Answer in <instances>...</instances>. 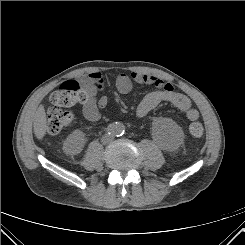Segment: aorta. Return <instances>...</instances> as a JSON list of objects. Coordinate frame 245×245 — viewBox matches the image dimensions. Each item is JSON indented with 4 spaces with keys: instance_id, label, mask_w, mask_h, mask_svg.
Here are the masks:
<instances>
[{
    "instance_id": "obj_1",
    "label": "aorta",
    "mask_w": 245,
    "mask_h": 245,
    "mask_svg": "<svg viewBox=\"0 0 245 245\" xmlns=\"http://www.w3.org/2000/svg\"><path fill=\"white\" fill-rule=\"evenodd\" d=\"M125 131V126L122 123H114L111 125V132L114 135H122Z\"/></svg>"
}]
</instances>
